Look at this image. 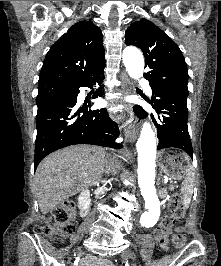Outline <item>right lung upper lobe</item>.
<instances>
[{
  "mask_svg": "<svg viewBox=\"0 0 221 266\" xmlns=\"http://www.w3.org/2000/svg\"><path fill=\"white\" fill-rule=\"evenodd\" d=\"M102 32L92 21L74 24L48 51L38 87H74L105 68Z\"/></svg>",
  "mask_w": 221,
  "mask_h": 266,
  "instance_id": "obj_1",
  "label": "right lung upper lobe"
}]
</instances>
